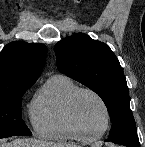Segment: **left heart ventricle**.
Instances as JSON below:
<instances>
[{"mask_svg": "<svg viewBox=\"0 0 145 147\" xmlns=\"http://www.w3.org/2000/svg\"><path fill=\"white\" fill-rule=\"evenodd\" d=\"M75 113L81 126L89 134L98 133L105 126V112L99 101L91 94L82 93L78 96Z\"/></svg>", "mask_w": 145, "mask_h": 147, "instance_id": "b2bd125f", "label": "left heart ventricle"}]
</instances>
